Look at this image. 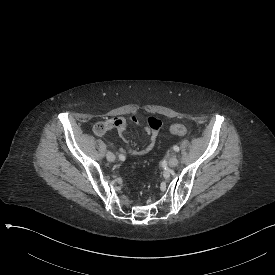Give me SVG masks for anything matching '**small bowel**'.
I'll list each match as a JSON object with an SVG mask.
<instances>
[{
	"label": "small bowel",
	"mask_w": 275,
	"mask_h": 275,
	"mask_svg": "<svg viewBox=\"0 0 275 275\" xmlns=\"http://www.w3.org/2000/svg\"><path fill=\"white\" fill-rule=\"evenodd\" d=\"M136 122V120H134ZM144 123L147 127L144 128L143 133L145 136L149 137V144L143 149H128V152L134 156H140L148 153L154 147L156 141V133L161 129L162 124L158 120H154L153 117L148 116L145 118ZM112 125L116 129L123 130L126 128L127 123L121 117H114Z\"/></svg>",
	"instance_id": "c3829d8e"
}]
</instances>
